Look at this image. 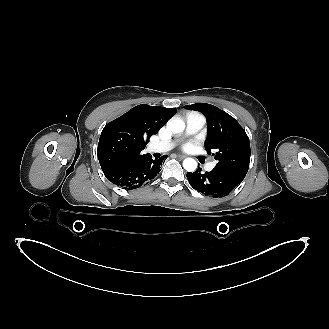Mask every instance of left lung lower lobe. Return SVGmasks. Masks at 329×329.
Segmentation results:
<instances>
[{
	"label": "left lung lower lobe",
	"instance_id": "1",
	"mask_svg": "<svg viewBox=\"0 0 329 329\" xmlns=\"http://www.w3.org/2000/svg\"><path fill=\"white\" fill-rule=\"evenodd\" d=\"M186 176L195 190L214 198L228 195L242 182V180L216 169L202 173V169L198 168L193 173L188 172Z\"/></svg>",
	"mask_w": 329,
	"mask_h": 329
}]
</instances>
